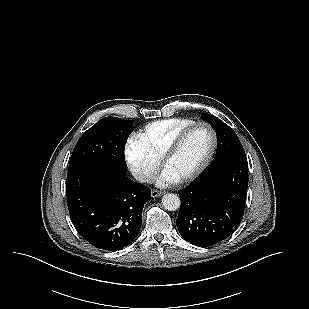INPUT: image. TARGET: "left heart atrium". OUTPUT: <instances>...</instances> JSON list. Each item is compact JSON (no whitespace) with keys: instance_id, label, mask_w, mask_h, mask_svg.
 I'll use <instances>...</instances> for the list:
<instances>
[{"instance_id":"obj_1","label":"left heart atrium","mask_w":309,"mask_h":309,"mask_svg":"<svg viewBox=\"0 0 309 309\" xmlns=\"http://www.w3.org/2000/svg\"><path fill=\"white\" fill-rule=\"evenodd\" d=\"M178 181V178L169 170L165 169L157 179V184L162 187H167Z\"/></svg>"}]
</instances>
